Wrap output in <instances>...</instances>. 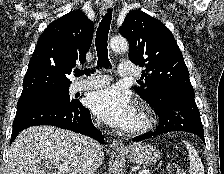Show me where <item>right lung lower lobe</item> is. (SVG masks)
Masks as SVG:
<instances>
[{"label": "right lung lower lobe", "instance_id": "1", "mask_svg": "<svg viewBox=\"0 0 224 174\" xmlns=\"http://www.w3.org/2000/svg\"><path fill=\"white\" fill-rule=\"evenodd\" d=\"M36 125H53L85 134L104 143L101 132L91 121L90 111L79 100L67 103L58 95L23 94L18 100L10 144L22 130Z\"/></svg>", "mask_w": 224, "mask_h": 174}]
</instances>
